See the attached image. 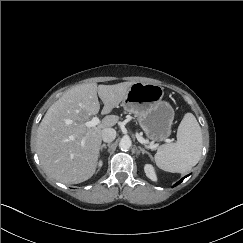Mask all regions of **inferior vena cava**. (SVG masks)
Instances as JSON below:
<instances>
[{
  "mask_svg": "<svg viewBox=\"0 0 243 243\" xmlns=\"http://www.w3.org/2000/svg\"><path fill=\"white\" fill-rule=\"evenodd\" d=\"M116 138V131L113 128H106L102 130V140L111 143Z\"/></svg>",
  "mask_w": 243,
  "mask_h": 243,
  "instance_id": "602c4592",
  "label": "inferior vena cava"
}]
</instances>
